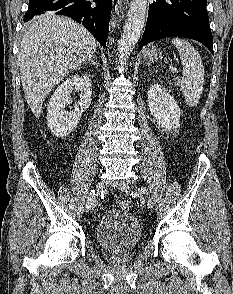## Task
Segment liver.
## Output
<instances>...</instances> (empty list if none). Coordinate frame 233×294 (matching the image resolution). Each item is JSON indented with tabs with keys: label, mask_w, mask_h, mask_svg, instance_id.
Wrapping results in <instances>:
<instances>
[{
	"label": "liver",
	"mask_w": 233,
	"mask_h": 294,
	"mask_svg": "<svg viewBox=\"0 0 233 294\" xmlns=\"http://www.w3.org/2000/svg\"><path fill=\"white\" fill-rule=\"evenodd\" d=\"M95 50L92 34L71 19L43 14L31 21L18 58L25 98L35 117L55 85L90 60Z\"/></svg>",
	"instance_id": "liver-1"
}]
</instances>
